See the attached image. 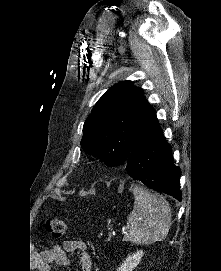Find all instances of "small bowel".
Returning <instances> with one entry per match:
<instances>
[{
    "instance_id": "small-bowel-1",
    "label": "small bowel",
    "mask_w": 221,
    "mask_h": 271,
    "mask_svg": "<svg viewBox=\"0 0 221 271\" xmlns=\"http://www.w3.org/2000/svg\"><path fill=\"white\" fill-rule=\"evenodd\" d=\"M76 252L80 265V271H92L93 261L87 252L86 244L81 240H66L62 245H56L52 249L45 250L38 255V270L50 271V266L55 263L66 267L70 264L69 253Z\"/></svg>"
}]
</instances>
